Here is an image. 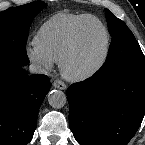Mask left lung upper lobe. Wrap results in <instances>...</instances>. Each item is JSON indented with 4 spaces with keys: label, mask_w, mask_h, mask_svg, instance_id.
Returning a JSON list of instances; mask_svg holds the SVG:
<instances>
[{
    "label": "left lung upper lobe",
    "mask_w": 145,
    "mask_h": 145,
    "mask_svg": "<svg viewBox=\"0 0 145 145\" xmlns=\"http://www.w3.org/2000/svg\"><path fill=\"white\" fill-rule=\"evenodd\" d=\"M105 12L112 41L107 60L96 75L105 77L123 69L145 68V57L133 33L111 11L105 9Z\"/></svg>",
    "instance_id": "1"
}]
</instances>
